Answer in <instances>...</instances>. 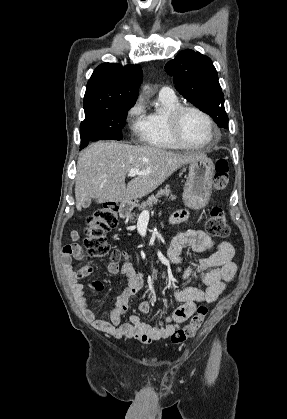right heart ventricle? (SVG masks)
<instances>
[{"label": "right heart ventricle", "instance_id": "obj_1", "mask_svg": "<svg viewBox=\"0 0 287 419\" xmlns=\"http://www.w3.org/2000/svg\"><path fill=\"white\" fill-rule=\"evenodd\" d=\"M158 101L163 106V111H153L145 115L143 130L139 136L141 142L160 149L185 148L176 142L167 124L168 112L180 105L178 99L176 96L165 97L159 95Z\"/></svg>", "mask_w": 287, "mask_h": 419}]
</instances>
